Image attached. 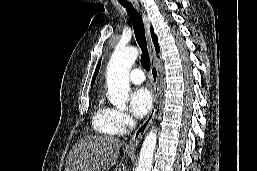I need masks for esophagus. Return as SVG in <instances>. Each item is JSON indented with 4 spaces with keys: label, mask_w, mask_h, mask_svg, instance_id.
Wrapping results in <instances>:
<instances>
[{
    "label": "esophagus",
    "mask_w": 257,
    "mask_h": 171,
    "mask_svg": "<svg viewBox=\"0 0 257 171\" xmlns=\"http://www.w3.org/2000/svg\"><path fill=\"white\" fill-rule=\"evenodd\" d=\"M143 21L146 28V36H147V42L149 47V55H150V61H151V70H150V77L152 81V92H153V104L152 108L150 110V113L148 114L147 118L144 120V122L138 127V129L133 134L131 140L129 141L128 148L130 149H136L141 142L144 134L150 127L158 108V102H159V72L158 67L156 65L157 62V55L153 46V43L150 38V23L147 18V15L145 12L142 11Z\"/></svg>",
    "instance_id": "esophagus-1"
}]
</instances>
